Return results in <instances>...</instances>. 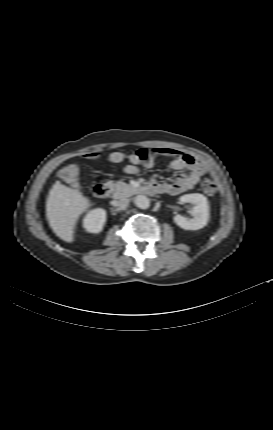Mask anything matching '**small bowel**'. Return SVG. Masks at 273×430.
Masks as SVG:
<instances>
[{
    "label": "small bowel",
    "mask_w": 273,
    "mask_h": 430,
    "mask_svg": "<svg viewBox=\"0 0 273 430\" xmlns=\"http://www.w3.org/2000/svg\"><path fill=\"white\" fill-rule=\"evenodd\" d=\"M161 156L172 157L170 162V167L172 169L178 171L188 170L189 173L178 176L172 183L154 179L149 185V192L166 193L170 195L181 194L193 189L200 181L201 176L206 172L204 164L195 156L171 148H142L129 154L115 151L107 154L106 159L111 163H120L127 160L129 164L125 167V172L127 174H138L140 166L151 168L155 160Z\"/></svg>",
    "instance_id": "obj_1"
}]
</instances>
